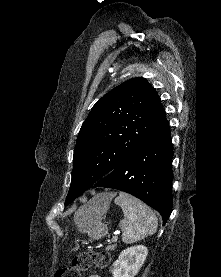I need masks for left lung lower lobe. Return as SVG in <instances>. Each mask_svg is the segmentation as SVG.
<instances>
[{
  "label": "left lung lower lobe",
  "instance_id": "left-lung-lower-lobe-1",
  "mask_svg": "<svg viewBox=\"0 0 221 277\" xmlns=\"http://www.w3.org/2000/svg\"><path fill=\"white\" fill-rule=\"evenodd\" d=\"M173 149L169 123L141 143L92 188L127 192L157 210L166 223L172 210Z\"/></svg>",
  "mask_w": 221,
  "mask_h": 277
}]
</instances>
